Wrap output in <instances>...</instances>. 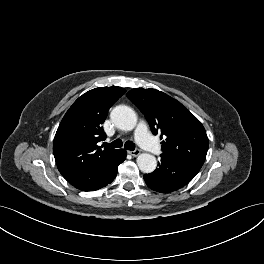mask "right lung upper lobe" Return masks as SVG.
<instances>
[{
	"instance_id": "right-lung-upper-lobe-1",
	"label": "right lung upper lobe",
	"mask_w": 264,
	"mask_h": 264,
	"mask_svg": "<svg viewBox=\"0 0 264 264\" xmlns=\"http://www.w3.org/2000/svg\"><path fill=\"white\" fill-rule=\"evenodd\" d=\"M121 87H99L80 96L63 117L53 143L58 170L68 180L100 163L116 150L97 143L106 138L102 124L124 93Z\"/></svg>"
}]
</instances>
